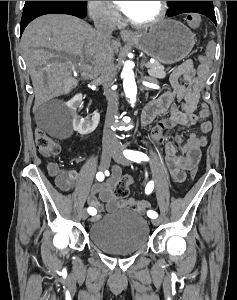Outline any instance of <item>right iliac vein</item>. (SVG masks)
<instances>
[{"mask_svg": "<svg viewBox=\"0 0 237 300\" xmlns=\"http://www.w3.org/2000/svg\"><path fill=\"white\" fill-rule=\"evenodd\" d=\"M113 153V149L111 147L103 148L101 160H100V168L101 170H106L111 162V156ZM89 214L86 210H83L81 213L82 220H86Z\"/></svg>", "mask_w": 237, "mask_h": 300, "instance_id": "1", "label": "right iliac vein"}]
</instances>
